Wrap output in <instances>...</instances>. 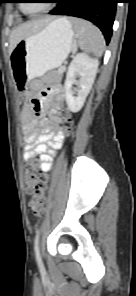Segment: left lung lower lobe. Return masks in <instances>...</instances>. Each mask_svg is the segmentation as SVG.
<instances>
[{
    "label": "left lung lower lobe",
    "instance_id": "0a47b994",
    "mask_svg": "<svg viewBox=\"0 0 136 296\" xmlns=\"http://www.w3.org/2000/svg\"><path fill=\"white\" fill-rule=\"evenodd\" d=\"M119 0H59L50 14L87 19L102 31L108 44L112 35L116 4Z\"/></svg>",
    "mask_w": 136,
    "mask_h": 296
}]
</instances>
